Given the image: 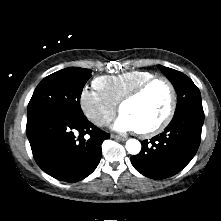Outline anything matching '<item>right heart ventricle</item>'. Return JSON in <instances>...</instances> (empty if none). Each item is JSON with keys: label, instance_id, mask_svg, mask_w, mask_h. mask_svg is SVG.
<instances>
[{"label": "right heart ventricle", "instance_id": "1", "mask_svg": "<svg viewBox=\"0 0 221 221\" xmlns=\"http://www.w3.org/2000/svg\"><path fill=\"white\" fill-rule=\"evenodd\" d=\"M152 72L133 70L118 75H105L97 77L93 85L107 98L116 104L132 89L142 82L154 77Z\"/></svg>", "mask_w": 221, "mask_h": 221}]
</instances>
